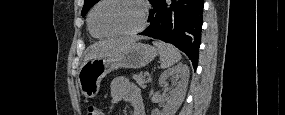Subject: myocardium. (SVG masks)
<instances>
[{
  "instance_id": "1",
  "label": "myocardium",
  "mask_w": 285,
  "mask_h": 115,
  "mask_svg": "<svg viewBox=\"0 0 285 115\" xmlns=\"http://www.w3.org/2000/svg\"><path fill=\"white\" fill-rule=\"evenodd\" d=\"M107 1H112V0H102L99 3H97L90 11L89 16H88V25L94 34L102 37H119V36H133L136 35L140 32H142L146 26H147V20H148V7L146 5V2L143 0H122V1H129L131 3L136 4L139 9H140V15H141V22L140 25L133 30L130 31H124V32H105V31H99L95 28L94 23H93V16L95 11L105 2Z\"/></svg>"
}]
</instances>
